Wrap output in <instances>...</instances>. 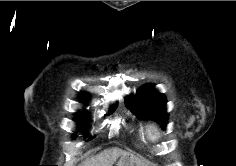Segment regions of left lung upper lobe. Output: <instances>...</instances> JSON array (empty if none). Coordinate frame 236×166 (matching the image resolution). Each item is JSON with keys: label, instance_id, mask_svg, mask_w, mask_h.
I'll return each mask as SVG.
<instances>
[{"label": "left lung upper lobe", "instance_id": "5c2ea615", "mask_svg": "<svg viewBox=\"0 0 236 166\" xmlns=\"http://www.w3.org/2000/svg\"><path fill=\"white\" fill-rule=\"evenodd\" d=\"M152 84L145 85L133 97H126L125 103L138 118H150L161 123L165 129L168 120L166 112V98L153 89Z\"/></svg>", "mask_w": 236, "mask_h": 166}]
</instances>
